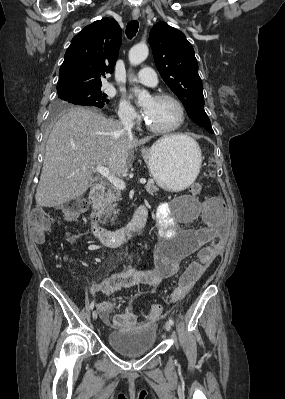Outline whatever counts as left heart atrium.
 <instances>
[{
    "instance_id": "obj_1",
    "label": "left heart atrium",
    "mask_w": 285,
    "mask_h": 399,
    "mask_svg": "<svg viewBox=\"0 0 285 399\" xmlns=\"http://www.w3.org/2000/svg\"><path fill=\"white\" fill-rule=\"evenodd\" d=\"M144 113H145V115H146V113H147V111L144 109Z\"/></svg>"
}]
</instances>
